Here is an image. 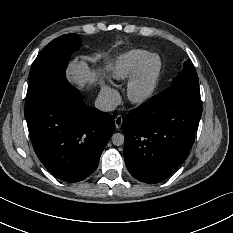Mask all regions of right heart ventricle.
Wrapping results in <instances>:
<instances>
[{
  "label": "right heart ventricle",
  "instance_id": "obj_1",
  "mask_svg": "<svg viewBox=\"0 0 233 233\" xmlns=\"http://www.w3.org/2000/svg\"><path fill=\"white\" fill-rule=\"evenodd\" d=\"M151 54L146 49H132L120 54L112 65L111 78L119 83L128 82Z\"/></svg>",
  "mask_w": 233,
  "mask_h": 233
}]
</instances>
